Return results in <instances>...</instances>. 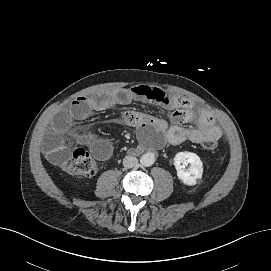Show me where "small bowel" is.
Returning <instances> with one entry per match:
<instances>
[{
    "instance_id": "1",
    "label": "small bowel",
    "mask_w": 271,
    "mask_h": 271,
    "mask_svg": "<svg viewBox=\"0 0 271 271\" xmlns=\"http://www.w3.org/2000/svg\"><path fill=\"white\" fill-rule=\"evenodd\" d=\"M134 101L150 102L173 110L169 121L135 111H126L116 119L119 123L135 127L142 141L154 142L157 145H177L184 141L202 143L206 138L221 136V130L215 124L213 115L204 109L196 110L192 100L156 87L136 85L74 99L66 109L56 115L45 136L46 157L55 165L62 163L68 154L65 137L76 136L71 129L73 121L84 120L93 111ZM158 134L161 137L156 140ZM78 141L89 147L99 160H106L113 153L111 143L99 138L95 132L79 136Z\"/></svg>"
}]
</instances>
